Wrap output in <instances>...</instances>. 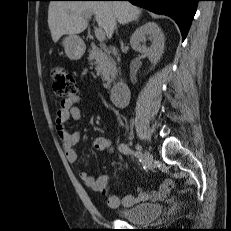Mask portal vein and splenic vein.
Listing matches in <instances>:
<instances>
[{
  "label": "portal vein and splenic vein",
  "instance_id": "portal-vein-and-splenic-vein-1",
  "mask_svg": "<svg viewBox=\"0 0 231 231\" xmlns=\"http://www.w3.org/2000/svg\"><path fill=\"white\" fill-rule=\"evenodd\" d=\"M95 35L98 41L102 42L105 40V33L102 28H96L95 29Z\"/></svg>",
  "mask_w": 231,
  "mask_h": 231
}]
</instances>
